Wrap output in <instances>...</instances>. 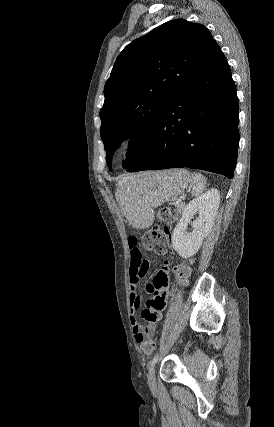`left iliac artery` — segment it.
Segmentation results:
<instances>
[{
  "instance_id": "44dca946",
  "label": "left iliac artery",
  "mask_w": 274,
  "mask_h": 427,
  "mask_svg": "<svg viewBox=\"0 0 274 427\" xmlns=\"http://www.w3.org/2000/svg\"><path fill=\"white\" fill-rule=\"evenodd\" d=\"M158 357H159V354H158V353L153 357V359H152V361L150 362V365H149V369H150V370H152V369H153V367H154L155 363H156V362H157V360H158Z\"/></svg>"
}]
</instances>
